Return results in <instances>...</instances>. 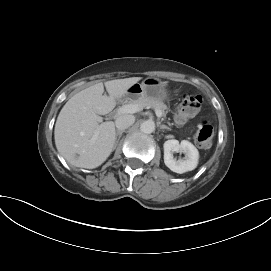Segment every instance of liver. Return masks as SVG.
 Masks as SVG:
<instances>
[{
	"label": "liver",
	"instance_id": "liver-1",
	"mask_svg": "<svg viewBox=\"0 0 271 271\" xmlns=\"http://www.w3.org/2000/svg\"><path fill=\"white\" fill-rule=\"evenodd\" d=\"M141 77L116 79L92 85L73 95L61 109L54 130L58 152L70 164L93 169L106 161L116 140L113 121L102 122L100 115L111 112L116 100ZM104 86L108 92L103 95Z\"/></svg>",
	"mask_w": 271,
	"mask_h": 271
}]
</instances>
